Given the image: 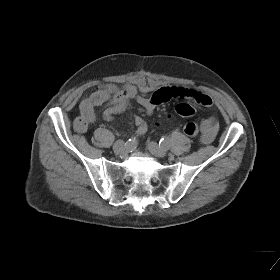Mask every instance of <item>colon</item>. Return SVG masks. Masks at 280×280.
I'll list each match as a JSON object with an SVG mask.
<instances>
[{"label": "colon", "mask_w": 280, "mask_h": 280, "mask_svg": "<svg viewBox=\"0 0 280 280\" xmlns=\"http://www.w3.org/2000/svg\"><path fill=\"white\" fill-rule=\"evenodd\" d=\"M176 111L178 114L184 117H190L194 114L193 107L186 103L178 104L176 107ZM74 126L76 130H83L86 127V123L81 117H78L74 122ZM185 132L190 136H194L198 133V127L195 123L189 122L185 126Z\"/></svg>", "instance_id": "1"}]
</instances>
